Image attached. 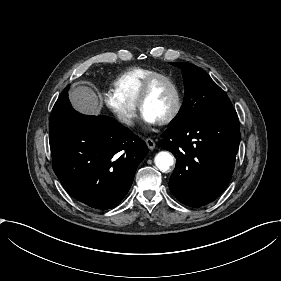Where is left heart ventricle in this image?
Instances as JSON below:
<instances>
[{
    "mask_svg": "<svg viewBox=\"0 0 281 281\" xmlns=\"http://www.w3.org/2000/svg\"><path fill=\"white\" fill-rule=\"evenodd\" d=\"M174 103L175 94L172 87L167 83H160L146 100L142 110L159 123L170 114Z\"/></svg>",
    "mask_w": 281,
    "mask_h": 281,
    "instance_id": "1",
    "label": "left heart ventricle"
}]
</instances>
